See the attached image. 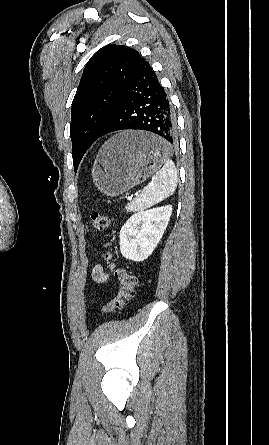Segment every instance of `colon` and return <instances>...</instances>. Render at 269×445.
<instances>
[{
    "instance_id": "1",
    "label": "colon",
    "mask_w": 269,
    "mask_h": 445,
    "mask_svg": "<svg viewBox=\"0 0 269 445\" xmlns=\"http://www.w3.org/2000/svg\"><path fill=\"white\" fill-rule=\"evenodd\" d=\"M91 221L96 231H104L108 229L110 225L109 217L99 212L91 214ZM110 246V243H108L107 247L109 249L105 252L104 259L118 281L119 289L111 301L103 306L101 310L103 314L123 308L133 298L137 285V278L130 273L128 268L119 266L116 263L114 253L110 249Z\"/></svg>"
}]
</instances>
